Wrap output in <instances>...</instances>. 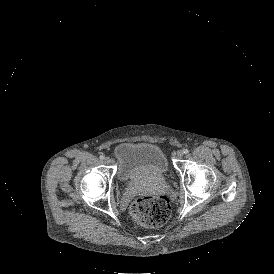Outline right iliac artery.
I'll list each match as a JSON object with an SVG mask.
<instances>
[{"mask_svg": "<svg viewBox=\"0 0 274 274\" xmlns=\"http://www.w3.org/2000/svg\"><path fill=\"white\" fill-rule=\"evenodd\" d=\"M101 160H103L105 157H104V155L102 154V155H100V157H99Z\"/></svg>", "mask_w": 274, "mask_h": 274, "instance_id": "82829eb1", "label": "right iliac artery"}]
</instances>
